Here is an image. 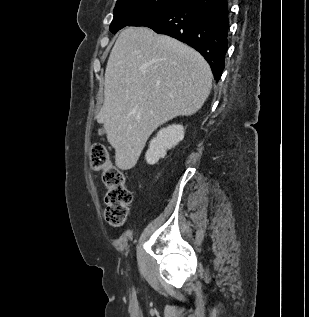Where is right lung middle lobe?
Wrapping results in <instances>:
<instances>
[{
    "mask_svg": "<svg viewBox=\"0 0 309 317\" xmlns=\"http://www.w3.org/2000/svg\"><path fill=\"white\" fill-rule=\"evenodd\" d=\"M181 1L182 0H118L114 9V18L110 25V31L115 34L136 18Z\"/></svg>",
    "mask_w": 309,
    "mask_h": 317,
    "instance_id": "right-lung-middle-lobe-1",
    "label": "right lung middle lobe"
}]
</instances>
